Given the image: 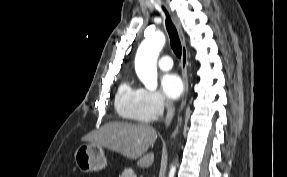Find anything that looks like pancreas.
Here are the masks:
<instances>
[{
    "label": "pancreas",
    "mask_w": 287,
    "mask_h": 177,
    "mask_svg": "<svg viewBox=\"0 0 287 177\" xmlns=\"http://www.w3.org/2000/svg\"><path fill=\"white\" fill-rule=\"evenodd\" d=\"M119 177H136L135 175V172L128 168V169H125L120 175Z\"/></svg>",
    "instance_id": "1"
}]
</instances>
